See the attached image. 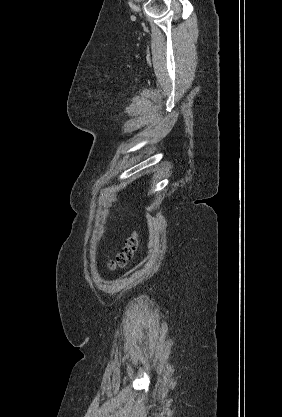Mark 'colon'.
<instances>
[{"instance_id":"obj_1","label":"colon","mask_w":282,"mask_h":417,"mask_svg":"<svg viewBox=\"0 0 282 417\" xmlns=\"http://www.w3.org/2000/svg\"><path fill=\"white\" fill-rule=\"evenodd\" d=\"M139 247V235L134 232L127 241V245L124 249V252L117 258L114 263L109 265V269L113 270L117 267H123L127 262L132 258L134 253L138 250Z\"/></svg>"}]
</instances>
